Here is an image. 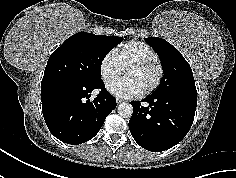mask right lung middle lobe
I'll use <instances>...</instances> for the list:
<instances>
[{"mask_svg":"<svg viewBox=\"0 0 236 178\" xmlns=\"http://www.w3.org/2000/svg\"><path fill=\"white\" fill-rule=\"evenodd\" d=\"M122 40V37L86 32L72 35L50 55L42 81L61 79L88 85L102 83V61Z\"/></svg>","mask_w":236,"mask_h":178,"instance_id":"obj_1","label":"right lung middle lobe"}]
</instances>
